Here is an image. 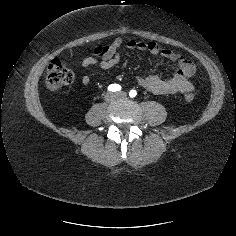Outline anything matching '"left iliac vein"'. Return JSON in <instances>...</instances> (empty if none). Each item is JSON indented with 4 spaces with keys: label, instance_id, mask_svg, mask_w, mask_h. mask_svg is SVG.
I'll return each instance as SVG.
<instances>
[{
    "label": "left iliac vein",
    "instance_id": "4c4485c4",
    "mask_svg": "<svg viewBox=\"0 0 236 236\" xmlns=\"http://www.w3.org/2000/svg\"><path fill=\"white\" fill-rule=\"evenodd\" d=\"M117 95V97L118 98H122V99H124V98H126L127 97V93L126 92H124V91H122V92H119L118 94H116Z\"/></svg>",
    "mask_w": 236,
    "mask_h": 236
}]
</instances>
